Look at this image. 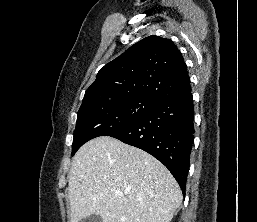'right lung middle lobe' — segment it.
Here are the masks:
<instances>
[{"label":"right lung middle lobe","mask_w":257,"mask_h":222,"mask_svg":"<svg viewBox=\"0 0 257 222\" xmlns=\"http://www.w3.org/2000/svg\"><path fill=\"white\" fill-rule=\"evenodd\" d=\"M147 97L97 98L83 103L78 111L72 155L87 141L110 136L131 126L158 105Z\"/></svg>","instance_id":"1"}]
</instances>
